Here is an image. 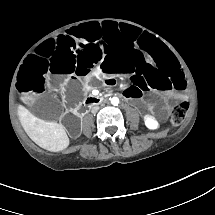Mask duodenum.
Returning <instances> with one entry per match:
<instances>
[{
  "mask_svg": "<svg viewBox=\"0 0 215 215\" xmlns=\"http://www.w3.org/2000/svg\"><path fill=\"white\" fill-rule=\"evenodd\" d=\"M105 98H106L105 95L90 96L86 99L84 105L85 106L100 105L104 102Z\"/></svg>",
  "mask_w": 215,
  "mask_h": 215,
  "instance_id": "410a0bca",
  "label": "duodenum"
}]
</instances>
